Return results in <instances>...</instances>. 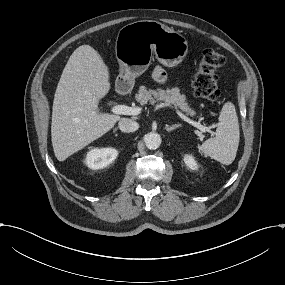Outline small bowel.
Segmentation results:
<instances>
[{
	"mask_svg": "<svg viewBox=\"0 0 285 285\" xmlns=\"http://www.w3.org/2000/svg\"><path fill=\"white\" fill-rule=\"evenodd\" d=\"M154 79L159 82L163 83L166 80V73L163 68L156 67L153 72Z\"/></svg>",
	"mask_w": 285,
	"mask_h": 285,
	"instance_id": "small-bowel-1",
	"label": "small bowel"
}]
</instances>
